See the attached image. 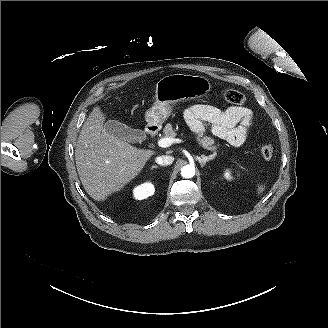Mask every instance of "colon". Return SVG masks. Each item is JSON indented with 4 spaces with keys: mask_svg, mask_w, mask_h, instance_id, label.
I'll list each match as a JSON object with an SVG mask.
<instances>
[{
    "mask_svg": "<svg viewBox=\"0 0 328 328\" xmlns=\"http://www.w3.org/2000/svg\"><path fill=\"white\" fill-rule=\"evenodd\" d=\"M223 98L227 103L234 105H243L245 103V96L241 92L234 89L225 90L223 93ZM260 153L265 160L271 159L274 153L273 145L270 143L262 145Z\"/></svg>",
    "mask_w": 328,
    "mask_h": 328,
    "instance_id": "1",
    "label": "colon"
}]
</instances>
